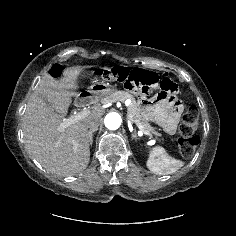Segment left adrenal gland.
I'll return each mask as SVG.
<instances>
[{"label":"left adrenal gland","instance_id":"obj_1","mask_svg":"<svg viewBox=\"0 0 236 236\" xmlns=\"http://www.w3.org/2000/svg\"><path fill=\"white\" fill-rule=\"evenodd\" d=\"M132 137L133 138H137V136H136V133L134 132V134H132Z\"/></svg>","mask_w":236,"mask_h":236}]
</instances>
